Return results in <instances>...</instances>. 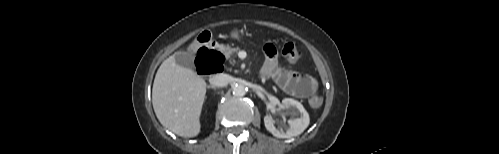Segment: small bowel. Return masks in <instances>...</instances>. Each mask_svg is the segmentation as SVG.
Listing matches in <instances>:
<instances>
[{
    "label": "small bowel",
    "mask_w": 499,
    "mask_h": 154,
    "mask_svg": "<svg viewBox=\"0 0 499 154\" xmlns=\"http://www.w3.org/2000/svg\"><path fill=\"white\" fill-rule=\"evenodd\" d=\"M265 63L261 70L264 78L273 79L286 93L298 98H307L317 90L316 80L307 74L293 71H283L276 60V49L273 45L264 47Z\"/></svg>",
    "instance_id": "obj_1"
}]
</instances>
